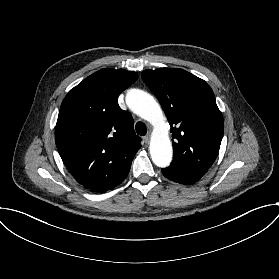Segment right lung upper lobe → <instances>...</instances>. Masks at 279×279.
Instances as JSON below:
<instances>
[{
    "label": "right lung upper lobe",
    "instance_id": "obj_1",
    "mask_svg": "<svg viewBox=\"0 0 279 279\" xmlns=\"http://www.w3.org/2000/svg\"><path fill=\"white\" fill-rule=\"evenodd\" d=\"M135 72L103 69L85 78L62 102L55 142L74 179L94 192H106L127 177L140 138L118 95L137 79Z\"/></svg>",
    "mask_w": 279,
    "mask_h": 279
}]
</instances>
